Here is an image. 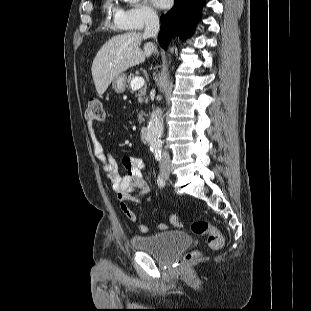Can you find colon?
Returning <instances> with one entry per match:
<instances>
[{"label":"colon","mask_w":311,"mask_h":311,"mask_svg":"<svg viewBox=\"0 0 311 311\" xmlns=\"http://www.w3.org/2000/svg\"><path fill=\"white\" fill-rule=\"evenodd\" d=\"M88 121H100L103 119V106L99 99L93 98L89 101L86 111ZM191 230L194 234L207 235V244L209 248L217 250L223 246L224 240L220 231L211 223L204 219H196L191 224ZM199 256V252L193 251L186 255V260H192Z\"/></svg>","instance_id":"colon-1"}]
</instances>
